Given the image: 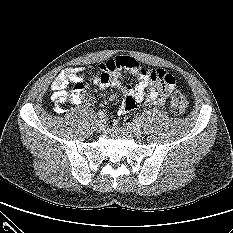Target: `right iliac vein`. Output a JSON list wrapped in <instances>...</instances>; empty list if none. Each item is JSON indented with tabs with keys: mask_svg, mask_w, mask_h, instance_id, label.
Returning a JSON list of instances; mask_svg holds the SVG:
<instances>
[{
	"mask_svg": "<svg viewBox=\"0 0 233 233\" xmlns=\"http://www.w3.org/2000/svg\"><path fill=\"white\" fill-rule=\"evenodd\" d=\"M106 127V123L104 122V120H98L96 122L95 128L98 132H103L105 130Z\"/></svg>",
	"mask_w": 233,
	"mask_h": 233,
	"instance_id": "obj_1",
	"label": "right iliac vein"
}]
</instances>
